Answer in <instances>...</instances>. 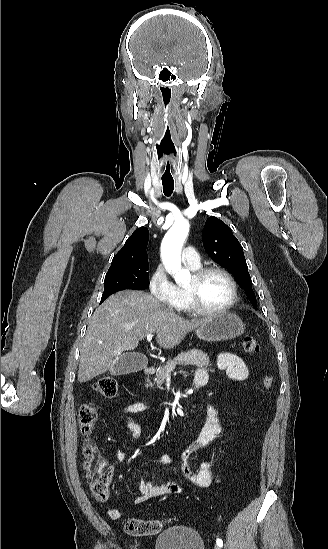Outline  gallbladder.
I'll use <instances>...</instances> for the list:
<instances>
[{"instance_id": "obj_1", "label": "gallbladder", "mask_w": 328, "mask_h": 549, "mask_svg": "<svg viewBox=\"0 0 328 549\" xmlns=\"http://www.w3.org/2000/svg\"><path fill=\"white\" fill-rule=\"evenodd\" d=\"M148 365V359L142 353H124L109 369V375H129L143 371Z\"/></svg>"}]
</instances>
